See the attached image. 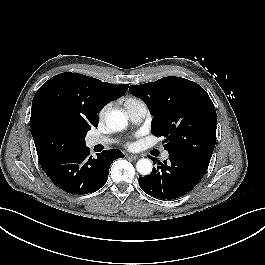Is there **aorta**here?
<instances>
[{"instance_id":"obj_1","label":"aorta","mask_w":265,"mask_h":265,"mask_svg":"<svg viewBox=\"0 0 265 265\" xmlns=\"http://www.w3.org/2000/svg\"><path fill=\"white\" fill-rule=\"evenodd\" d=\"M106 125L113 131L123 130L127 124V116L120 110H112L106 115ZM152 162L150 159L143 158L136 163V170L141 175H149L152 172Z\"/></svg>"}]
</instances>
